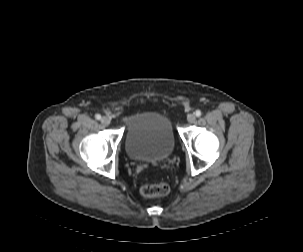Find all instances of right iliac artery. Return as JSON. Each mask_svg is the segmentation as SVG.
<instances>
[{"mask_svg": "<svg viewBox=\"0 0 303 252\" xmlns=\"http://www.w3.org/2000/svg\"><path fill=\"white\" fill-rule=\"evenodd\" d=\"M95 118H96L97 120H100V119H101V115H100V114H96V115H95Z\"/></svg>", "mask_w": 303, "mask_h": 252, "instance_id": "obj_1", "label": "right iliac artery"}]
</instances>
